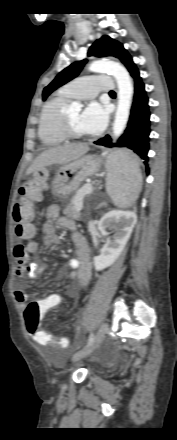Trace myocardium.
I'll return each mask as SVG.
<instances>
[{"mask_svg": "<svg viewBox=\"0 0 177 440\" xmlns=\"http://www.w3.org/2000/svg\"><path fill=\"white\" fill-rule=\"evenodd\" d=\"M61 125L66 139L76 140V139H82L84 137L83 134L78 133L77 131L74 130L71 121L67 115V111H63L62 113Z\"/></svg>", "mask_w": 177, "mask_h": 440, "instance_id": "obj_1", "label": "myocardium"}]
</instances>
